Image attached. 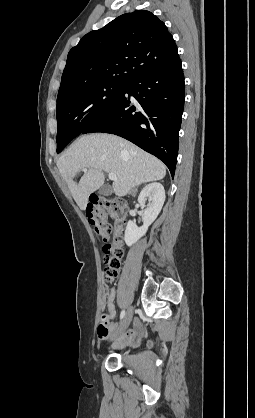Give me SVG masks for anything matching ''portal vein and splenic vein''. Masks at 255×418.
I'll list each match as a JSON object with an SVG mask.
<instances>
[{
	"instance_id": "portal-vein-and-splenic-vein-1",
	"label": "portal vein and splenic vein",
	"mask_w": 255,
	"mask_h": 418,
	"mask_svg": "<svg viewBox=\"0 0 255 418\" xmlns=\"http://www.w3.org/2000/svg\"><path fill=\"white\" fill-rule=\"evenodd\" d=\"M82 170L85 172V171H87V168H83ZM108 177H109L110 180L117 181V177L114 173H109Z\"/></svg>"
}]
</instances>
